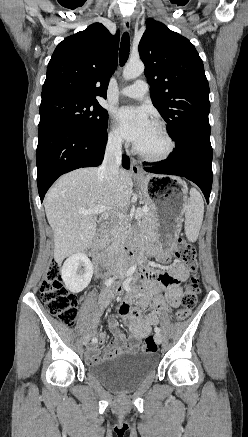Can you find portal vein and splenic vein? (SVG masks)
<instances>
[{
  "label": "portal vein and splenic vein",
  "instance_id": "portal-vein-and-splenic-vein-1",
  "mask_svg": "<svg viewBox=\"0 0 248 437\" xmlns=\"http://www.w3.org/2000/svg\"><path fill=\"white\" fill-rule=\"evenodd\" d=\"M148 210H149L148 206H143L142 213H147ZM105 211H106L105 206H99V207H96V208H93L90 210H80V213L84 214V215H97V214L104 213ZM118 216H119V218H124L123 214H119Z\"/></svg>",
  "mask_w": 248,
  "mask_h": 437
}]
</instances>
